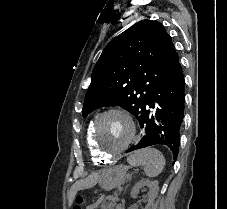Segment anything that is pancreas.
Segmentation results:
<instances>
[{
    "label": "pancreas",
    "instance_id": "1",
    "mask_svg": "<svg viewBox=\"0 0 227 209\" xmlns=\"http://www.w3.org/2000/svg\"><path fill=\"white\" fill-rule=\"evenodd\" d=\"M107 199H111V197H107ZM102 209H114L115 204L114 203H105L102 205Z\"/></svg>",
    "mask_w": 227,
    "mask_h": 209
}]
</instances>
